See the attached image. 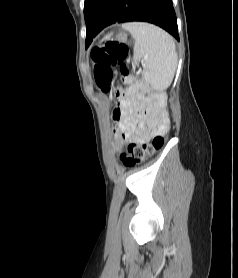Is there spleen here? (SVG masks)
Masks as SVG:
<instances>
[{
  "mask_svg": "<svg viewBox=\"0 0 238 278\" xmlns=\"http://www.w3.org/2000/svg\"><path fill=\"white\" fill-rule=\"evenodd\" d=\"M135 40V65L144 62L142 79L157 91L165 90L172 82L177 67L175 43L161 28L143 22L122 25Z\"/></svg>",
  "mask_w": 238,
  "mask_h": 278,
  "instance_id": "3e777b00",
  "label": "spleen"
}]
</instances>
